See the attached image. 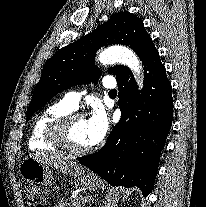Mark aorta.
Listing matches in <instances>:
<instances>
[{"instance_id":"1","label":"aorta","mask_w":206,"mask_h":207,"mask_svg":"<svg viewBox=\"0 0 206 207\" xmlns=\"http://www.w3.org/2000/svg\"><path fill=\"white\" fill-rule=\"evenodd\" d=\"M99 61L106 65L113 62L128 66L136 76H139L141 66L137 55L130 49L122 46H114L105 49L99 54Z\"/></svg>"}]
</instances>
